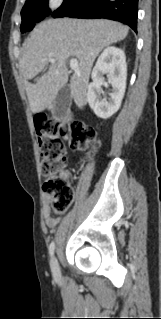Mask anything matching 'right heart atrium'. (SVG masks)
Returning a JSON list of instances; mask_svg holds the SVG:
<instances>
[{
    "label": "right heart atrium",
    "mask_w": 161,
    "mask_h": 319,
    "mask_svg": "<svg viewBox=\"0 0 161 319\" xmlns=\"http://www.w3.org/2000/svg\"><path fill=\"white\" fill-rule=\"evenodd\" d=\"M62 0H47L46 1V6L49 9H55L57 7H59V5L61 4Z\"/></svg>",
    "instance_id": "obj_1"
}]
</instances>
